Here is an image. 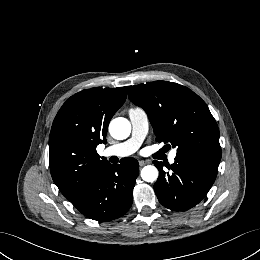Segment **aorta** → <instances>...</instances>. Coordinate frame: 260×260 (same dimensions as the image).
Segmentation results:
<instances>
[{"mask_svg":"<svg viewBox=\"0 0 260 260\" xmlns=\"http://www.w3.org/2000/svg\"><path fill=\"white\" fill-rule=\"evenodd\" d=\"M109 132L111 136L117 140L126 139L130 135L131 124L126 118H115L109 124ZM158 175L159 172L153 165H147L141 170V178L146 182L156 181Z\"/></svg>","mask_w":260,"mask_h":260,"instance_id":"762f6f07","label":"aorta"}]
</instances>
